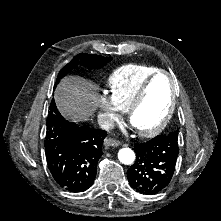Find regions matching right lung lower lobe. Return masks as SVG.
<instances>
[{
	"label": "right lung lower lobe",
	"instance_id": "1",
	"mask_svg": "<svg viewBox=\"0 0 221 221\" xmlns=\"http://www.w3.org/2000/svg\"><path fill=\"white\" fill-rule=\"evenodd\" d=\"M104 130L65 120L54 99L47 118L45 154L54 180L70 192H83L94 182L102 152Z\"/></svg>",
	"mask_w": 221,
	"mask_h": 221
}]
</instances>
